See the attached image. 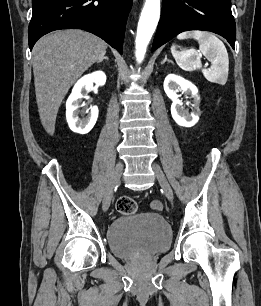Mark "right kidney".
I'll return each mask as SVG.
<instances>
[{
    "label": "right kidney",
    "mask_w": 261,
    "mask_h": 306,
    "mask_svg": "<svg viewBox=\"0 0 261 306\" xmlns=\"http://www.w3.org/2000/svg\"><path fill=\"white\" fill-rule=\"evenodd\" d=\"M106 82V75L102 71L83 76L79 79L72 89L66 102V119L70 129L79 134H87L94 127L98 118V108H91L90 115L87 118L80 119L78 117L79 103L90 91L93 83L103 86Z\"/></svg>",
    "instance_id": "ca27d5eb"
}]
</instances>
